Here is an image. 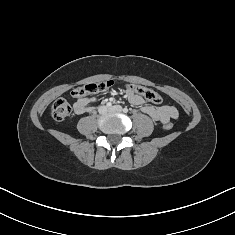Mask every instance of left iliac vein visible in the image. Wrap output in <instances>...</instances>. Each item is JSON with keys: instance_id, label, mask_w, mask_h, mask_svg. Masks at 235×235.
Instances as JSON below:
<instances>
[{"instance_id": "4c4485c4", "label": "left iliac vein", "mask_w": 235, "mask_h": 235, "mask_svg": "<svg viewBox=\"0 0 235 235\" xmlns=\"http://www.w3.org/2000/svg\"><path fill=\"white\" fill-rule=\"evenodd\" d=\"M110 112H121L122 111V107L120 105H115L111 108H109Z\"/></svg>"}]
</instances>
